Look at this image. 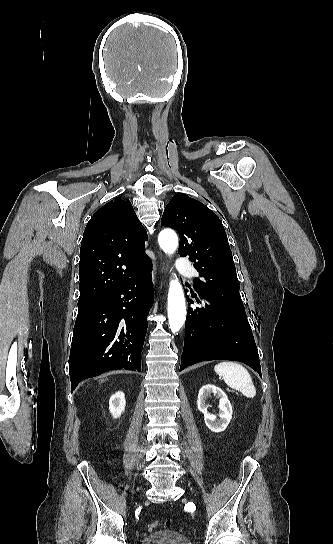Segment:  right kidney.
<instances>
[{"mask_svg":"<svg viewBox=\"0 0 333 544\" xmlns=\"http://www.w3.org/2000/svg\"><path fill=\"white\" fill-rule=\"evenodd\" d=\"M125 395L122 391L113 394L109 399V410L114 418H119L125 410Z\"/></svg>","mask_w":333,"mask_h":544,"instance_id":"obj_1","label":"right kidney"}]
</instances>
